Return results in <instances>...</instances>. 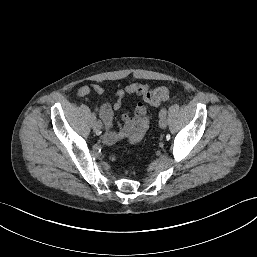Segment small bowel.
Masks as SVG:
<instances>
[{"label":"small bowel","mask_w":257,"mask_h":257,"mask_svg":"<svg viewBox=\"0 0 257 257\" xmlns=\"http://www.w3.org/2000/svg\"><path fill=\"white\" fill-rule=\"evenodd\" d=\"M149 89L150 87L147 84L140 82L132 83L124 89L115 92L114 97L116 101L113 105L104 103L98 107V115L105 126L103 136L105 143L113 144L121 140L135 143L139 142L144 137L149 127V118L146 106L143 103H139L131 114L122 117V125L117 130L113 129V118L114 111L121 109L126 97L131 95L145 96ZM92 93L102 95L105 93V89L97 83H91L80 87L76 95L81 98Z\"/></svg>","instance_id":"1"}]
</instances>
